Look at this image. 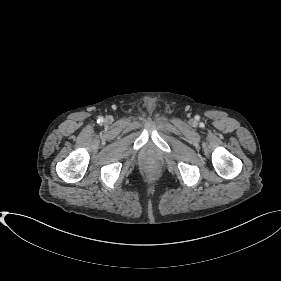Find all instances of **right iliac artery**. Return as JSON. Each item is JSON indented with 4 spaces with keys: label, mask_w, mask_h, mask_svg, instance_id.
<instances>
[{
    "label": "right iliac artery",
    "mask_w": 281,
    "mask_h": 281,
    "mask_svg": "<svg viewBox=\"0 0 281 281\" xmlns=\"http://www.w3.org/2000/svg\"><path fill=\"white\" fill-rule=\"evenodd\" d=\"M97 122H98V123H102V122H103V118H102V117H99V119H98Z\"/></svg>",
    "instance_id": "1"
}]
</instances>
